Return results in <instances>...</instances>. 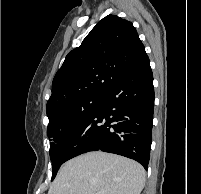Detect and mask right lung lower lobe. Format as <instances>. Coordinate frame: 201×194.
Instances as JSON below:
<instances>
[{
    "label": "right lung lower lobe",
    "instance_id": "98d812e1",
    "mask_svg": "<svg viewBox=\"0 0 201 194\" xmlns=\"http://www.w3.org/2000/svg\"><path fill=\"white\" fill-rule=\"evenodd\" d=\"M153 111V75L146 57L63 139L56 152L59 165L82 153L101 150L134 159L147 170Z\"/></svg>",
    "mask_w": 201,
    "mask_h": 194
}]
</instances>
